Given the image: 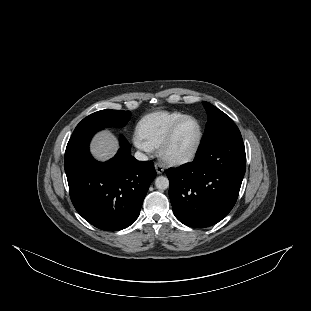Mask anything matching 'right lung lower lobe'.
I'll list each match as a JSON object with an SVG mask.
<instances>
[{
	"mask_svg": "<svg viewBox=\"0 0 311 311\" xmlns=\"http://www.w3.org/2000/svg\"><path fill=\"white\" fill-rule=\"evenodd\" d=\"M99 130L73 132L65 151V172L77 212L99 229L116 231L138 218L156 171L152 161L140 162L131 155L124 136L115 157L104 163L94 160L89 142Z\"/></svg>",
	"mask_w": 311,
	"mask_h": 311,
	"instance_id": "right-lung-lower-lobe-1",
	"label": "right lung lower lobe"
}]
</instances>
